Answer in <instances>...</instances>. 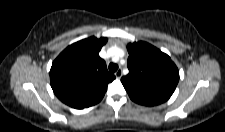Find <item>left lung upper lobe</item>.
<instances>
[{"instance_id": "1", "label": "left lung upper lobe", "mask_w": 225, "mask_h": 132, "mask_svg": "<svg viewBox=\"0 0 225 132\" xmlns=\"http://www.w3.org/2000/svg\"><path fill=\"white\" fill-rule=\"evenodd\" d=\"M127 49L129 74L121 82L130 98L146 106L167 101L179 81L178 68L171 58L143 41L130 43Z\"/></svg>"}]
</instances>
